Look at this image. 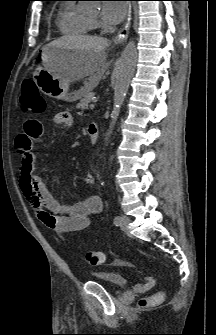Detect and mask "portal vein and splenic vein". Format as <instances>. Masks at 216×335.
<instances>
[{"label":"portal vein and splenic vein","mask_w":216,"mask_h":335,"mask_svg":"<svg viewBox=\"0 0 216 335\" xmlns=\"http://www.w3.org/2000/svg\"><path fill=\"white\" fill-rule=\"evenodd\" d=\"M94 107H95V103H92V104L90 105V108L93 109Z\"/></svg>","instance_id":"18ae733b"}]
</instances>
